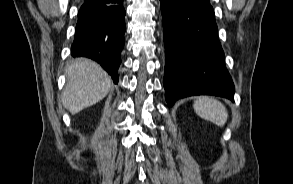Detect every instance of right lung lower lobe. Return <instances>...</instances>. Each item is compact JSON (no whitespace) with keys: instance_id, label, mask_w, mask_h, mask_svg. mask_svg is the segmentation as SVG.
Instances as JSON below:
<instances>
[{"instance_id":"right-lung-lower-lobe-1","label":"right lung lower lobe","mask_w":293,"mask_h":184,"mask_svg":"<svg viewBox=\"0 0 293 184\" xmlns=\"http://www.w3.org/2000/svg\"><path fill=\"white\" fill-rule=\"evenodd\" d=\"M125 9L123 0L105 5L84 3L78 12L72 56L97 61L118 83L120 53L124 47Z\"/></svg>"}]
</instances>
